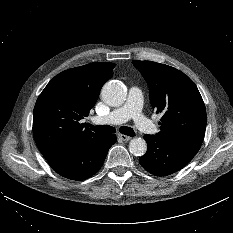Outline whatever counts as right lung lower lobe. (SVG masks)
<instances>
[{
	"label": "right lung lower lobe",
	"instance_id": "1",
	"mask_svg": "<svg viewBox=\"0 0 233 233\" xmlns=\"http://www.w3.org/2000/svg\"><path fill=\"white\" fill-rule=\"evenodd\" d=\"M116 140L115 135H100L69 154L47 161L59 175L72 180H84L101 168Z\"/></svg>",
	"mask_w": 233,
	"mask_h": 233
}]
</instances>
